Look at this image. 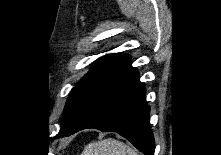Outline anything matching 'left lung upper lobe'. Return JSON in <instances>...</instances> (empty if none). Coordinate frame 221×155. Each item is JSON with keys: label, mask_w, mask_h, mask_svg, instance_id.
<instances>
[{"label": "left lung upper lobe", "mask_w": 221, "mask_h": 155, "mask_svg": "<svg viewBox=\"0 0 221 155\" xmlns=\"http://www.w3.org/2000/svg\"><path fill=\"white\" fill-rule=\"evenodd\" d=\"M129 60L130 57L126 54H109L93 63V68L70 92L64 108L65 116L62 129L67 128L74 121L98 85Z\"/></svg>", "instance_id": "left-lung-upper-lobe-1"}]
</instances>
